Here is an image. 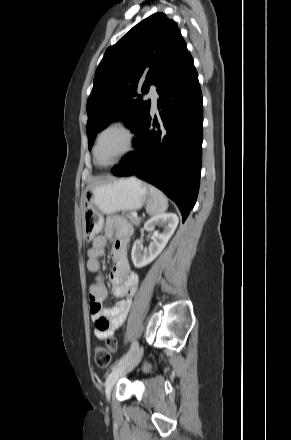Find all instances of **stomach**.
<instances>
[{
    "label": "stomach",
    "mask_w": 291,
    "mask_h": 440,
    "mask_svg": "<svg viewBox=\"0 0 291 440\" xmlns=\"http://www.w3.org/2000/svg\"><path fill=\"white\" fill-rule=\"evenodd\" d=\"M150 199L148 186L135 177L110 179L88 187L83 194L85 238L103 227V215L140 209Z\"/></svg>",
    "instance_id": "1"
}]
</instances>
